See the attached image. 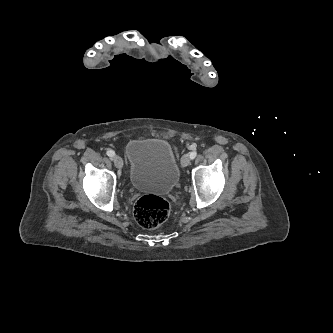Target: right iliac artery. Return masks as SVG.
I'll use <instances>...</instances> for the list:
<instances>
[{"label":"right iliac artery","mask_w":333,"mask_h":333,"mask_svg":"<svg viewBox=\"0 0 333 333\" xmlns=\"http://www.w3.org/2000/svg\"><path fill=\"white\" fill-rule=\"evenodd\" d=\"M106 154L109 156V157H113L115 155V152L111 149L107 150Z\"/></svg>","instance_id":"obj_1"}]
</instances>
